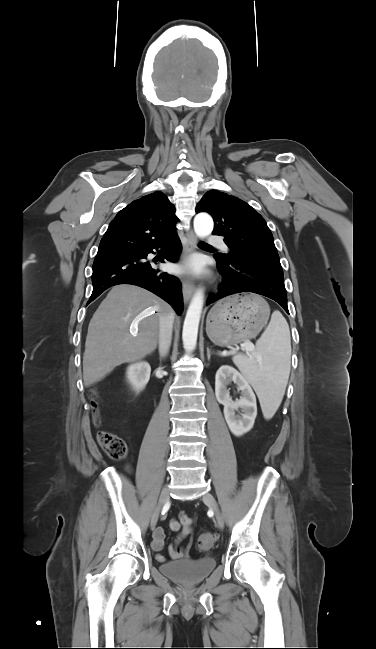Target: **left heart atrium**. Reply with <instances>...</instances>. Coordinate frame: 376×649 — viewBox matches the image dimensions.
I'll list each match as a JSON object with an SVG mask.
<instances>
[{
	"instance_id": "39dd6f15",
	"label": "left heart atrium",
	"mask_w": 376,
	"mask_h": 649,
	"mask_svg": "<svg viewBox=\"0 0 376 649\" xmlns=\"http://www.w3.org/2000/svg\"><path fill=\"white\" fill-rule=\"evenodd\" d=\"M186 270L197 273L201 270V265L198 261H192L186 266Z\"/></svg>"
}]
</instances>
